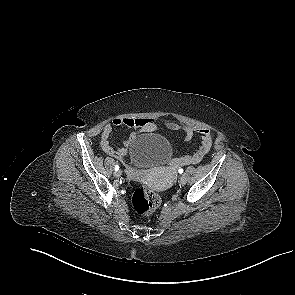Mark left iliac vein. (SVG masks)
Segmentation results:
<instances>
[{"label":"left iliac vein","mask_w":295,"mask_h":295,"mask_svg":"<svg viewBox=\"0 0 295 295\" xmlns=\"http://www.w3.org/2000/svg\"><path fill=\"white\" fill-rule=\"evenodd\" d=\"M186 182H187V178H186L184 175H182V176L180 177L179 183H180L181 185H185Z\"/></svg>","instance_id":"4c4485c4"}]
</instances>
